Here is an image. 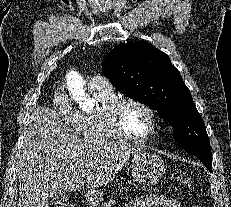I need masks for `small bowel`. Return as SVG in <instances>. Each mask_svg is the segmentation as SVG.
Wrapping results in <instances>:
<instances>
[{"mask_svg": "<svg viewBox=\"0 0 231 207\" xmlns=\"http://www.w3.org/2000/svg\"><path fill=\"white\" fill-rule=\"evenodd\" d=\"M126 207H181V204L173 198L146 195L134 199Z\"/></svg>", "mask_w": 231, "mask_h": 207, "instance_id": "c3829d8e", "label": "small bowel"}]
</instances>
